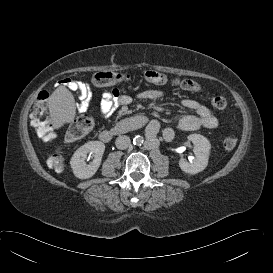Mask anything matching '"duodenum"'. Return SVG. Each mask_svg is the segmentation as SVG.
<instances>
[{
  "mask_svg": "<svg viewBox=\"0 0 273 273\" xmlns=\"http://www.w3.org/2000/svg\"><path fill=\"white\" fill-rule=\"evenodd\" d=\"M147 118L141 115L124 118L118 121L113 127L99 132V139L104 143L111 142L115 137L129 133L144 126Z\"/></svg>",
  "mask_w": 273,
  "mask_h": 273,
  "instance_id": "410a0bca",
  "label": "duodenum"
}]
</instances>
